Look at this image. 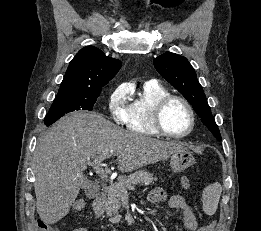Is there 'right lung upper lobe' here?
<instances>
[{"mask_svg":"<svg viewBox=\"0 0 261 231\" xmlns=\"http://www.w3.org/2000/svg\"><path fill=\"white\" fill-rule=\"evenodd\" d=\"M121 67V61L107 57L94 46L81 49L69 63L59 91L102 90Z\"/></svg>","mask_w":261,"mask_h":231,"instance_id":"cb5924a9","label":"right lung upper lobe"}]
</instances>
